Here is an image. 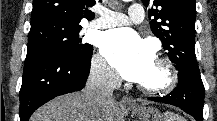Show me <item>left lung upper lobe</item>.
<instances>
[{
    "mask_svg": "<svg viewBox=\"0 0 217 121\" xmlns=\"http://www.w3.org/2000/svg\"><path fill=\"white\" fill-rule=\"evenodd\" d=\"M148 7L150 27L178 70L200 74L194 50L196 0H142Z\"/></svg>",
    "mask_w": 217,
    "mask_h": 121,
    "instance_id": "obj_1",
    "label": "left lung upper lobe"
}]
</instances>
